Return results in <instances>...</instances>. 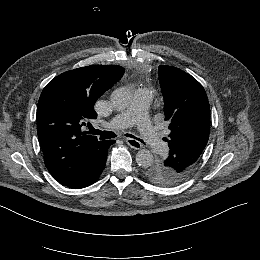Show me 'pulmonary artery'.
Wrapping results in <instances>:
<instances>
[{"instance_id":"e3ab8cb5","label":"pulmonary artery","mask_w":260,"mask_h":260,"mask_svg":"<svg viewBox=\"0 0 260 260\" xmlns=\"http://www.w3.org/2000/svg\"><path fill=\"white\" fill-rule=\"evenodd\" d=\"M151 95L146 90H139L126 106L122 107L112 117V124L117 129H124L132 123H137L139 132L148 148L157 155L167 152V145L160 139L152 126L150 112Z\"/></svg>"}]
</instances>
